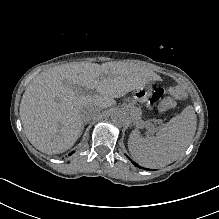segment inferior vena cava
<instances>
[{
    "label": "inferior vena cava",
    "instance_id": "1",
    "mask_svg": "<svg viewBox=\"0 0 219 219\" xmlns=\"http://www.w3.org/2000/svg\"><path fill=\"white\" fill-rule=\"evenodd\" d=\"M100 111L95 106L85 107L80 112V117L85 122L95 121L99 118Z\"/></svg>",
    "mask_w": 219,
    "mask_h": 219
}]
</instances>
